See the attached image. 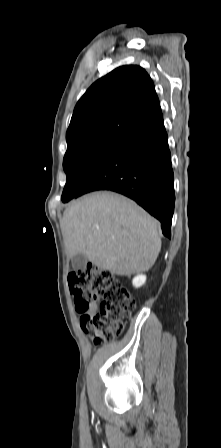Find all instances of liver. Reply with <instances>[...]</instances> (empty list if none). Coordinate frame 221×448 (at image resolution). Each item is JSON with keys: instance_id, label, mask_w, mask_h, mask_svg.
I'll return each instance as SVG.
<instances>
[{"instance_id": "liver-1", "label": "liver", "mask_w": 221, "mask_h": 448, "mask_svg": "<svg viewBox=\"0 0 221 448\" xmlns=\"http://www.w3.org/2000/svg\"><path fill=\"white\" fill-rule=\"evenodd\" d=\"M61 228L69 258L84 254L99 269L116 275L148 271L161 249L159 222L113 192H94L72 203Z\"/></svg>"}]
</instances>
